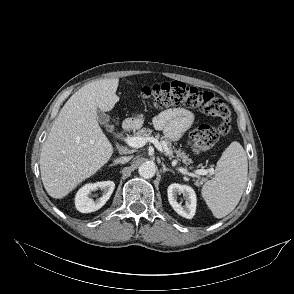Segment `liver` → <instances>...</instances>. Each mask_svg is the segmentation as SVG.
<instances>
[{
  "mask_svg": "<svg viewBox=\"0 0 294 294\" xmlns=\"http://www.w3.org/2000/svg\"><path fill=\"white\" fill-rule=\"evenodd\" d=\"M118 84V78L86 84L60 110L40 154L41 179L51 197L64 198L111 158L113 147L97 112L114 108Z\"/></svg>",
  "mask_w": 294,
  "mask_h": 294,
  "instance_id": "1",
  "label": "liver"
}]
</instances>
